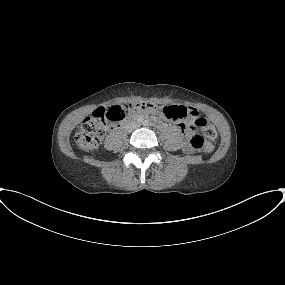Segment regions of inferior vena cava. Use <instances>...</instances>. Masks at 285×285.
<instances>
[{"mask_svg":"<svg viewBox=\"0 0 285 285\" xmlns=\"http://www.w3.org/2000/svg\"><path fill=\"white\" fill-rule=\"evenodd\" d=\"M137 127H138V126H137L136 124L130 125V126H128V130H129V131H132V130L136 129Z\"/></svg>","mask_w":285,"mask_h":285,"instance_id":"obj_1","label":"inferior vena cava"}]
</instances>
